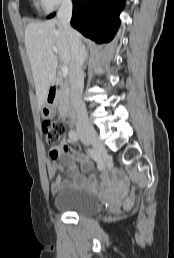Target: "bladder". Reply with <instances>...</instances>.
<instances>
[{"instance_id": "obj_1", "label": "bladder", "mask_w": 174, "mask_h": 258, "mask_svg": "<svg viewBox=\"0 0 174 258\" xmlns=\"http://www.w3.org/2000/svg\"><path fill=\"white\" fill-rule=\"evenodd\" d=\"M53 207L76 215H96L101 210V202L89 189L65 184L53 200Z\"/></svg>"}]
</instances>
